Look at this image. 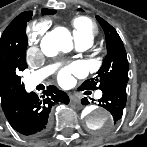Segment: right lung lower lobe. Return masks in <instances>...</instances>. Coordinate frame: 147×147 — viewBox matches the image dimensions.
Masks as SVG:
<instances>
[{
	"label": "right lung lower lobe",
	"mask_w": 147,
	"mask_h": 147,
	"mask_svg": "<svg viewBox=\"0 0 147 147\" xmlns=\"http://www.w3.org/2000/svg\"><path fill=\"white\" fill-rule=\"evenodd\" d=\"M56 102L68 104L69 97L57 87L48 86L41 98L26 92L2 106V109L14 130L25 136L38 137L47 131L50 109Z\"/></svg>",
	"instance_id": "98d812e1"
}]
</instances>
